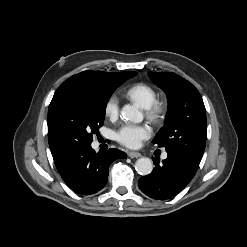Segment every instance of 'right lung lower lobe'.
Returning <instances> with one entry per match:
<instances>
[{
	"label": "right lung lower lobe",
	"mask_w": 247,
	"mask_h": 247,
	"mask_svg": "<svg viewBox=\"0 0 247 247\" xmlns=\"http://www.w3.org/2000/svg\"><path fill=\"white\" fill-rule=\"evenodd\" d=\"M126 158L118 149L96 153L91 145L76 147L54 160L65 183L79 194H93L104 187L108 168L115 159Z\"/></svg>",
	"instance_id": "right-lung-lower-lobe-1"
}]
</instances>
